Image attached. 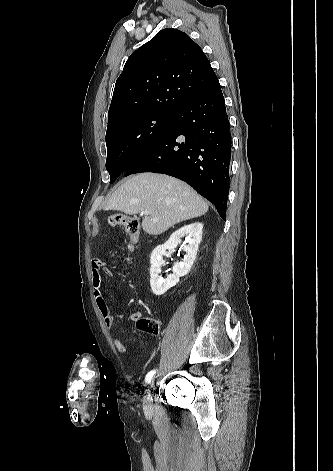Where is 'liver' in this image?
Instances as JSON below:
<instances>
[{
    "label": "liver",
    "mask_w": 333,
    "mask_h": 471,
    "mask_svg": "<svg viewBox=\"0 0 333 471\" xmlns=\"http://www.w3.org/2000/svg\"><path fill=\"white\" fill-rule=\"evenodd\" d=\"M208 208L188 184L157 173L130 177L111 194L104 207L128 215L148 210L142 228L150 235H159L179 222L202 216Z\"/></svg>",
    "instance_id": "1"
}]
</instances>
